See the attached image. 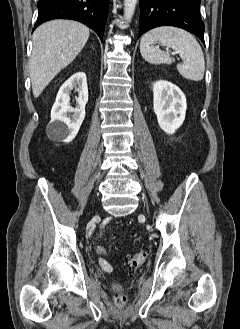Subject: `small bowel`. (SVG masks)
<instances>
[{"label":"small bowel","mask_w":240,"mask_h":329,"mask_svg":"<svg viewBox=\"0 0 240 329\" xmlns=\"http://www.w3.org/2000/svg\"><path fill=\"white\" fill-rule=\"evenodd\" d=\"M99 251L101 253H105V249L99 248ZM98 264L100 267L105 271V272H111L112 271V266L111 264L103 257L98 258Z\"/></svg>","instance_id":"1"}]
</instances>
